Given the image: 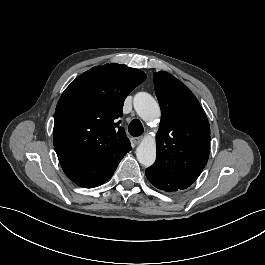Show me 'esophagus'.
<instances>
[{
    "label": "esophagus",
    "instance_id": "34e87169",
    "mask_svg": "<svg viewBox=\"0 0 265 265\" xmlns=\"http://www.w3.org/2000/svg\"><path fill=\"white\" fill-rule=\"evenodd\" d=\"M141 140H142V138L141 137H134L133 138V142H134V144H139L140 142H141Z\"/></svg>",
    "mask_w": 265,
    "mask_h": 265
}]
</instances>
